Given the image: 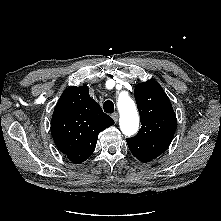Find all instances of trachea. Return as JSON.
I'll return each mask as SVG.
<instances>
[{
  "instance_id": "obj_1",
  "label": "trachea",
  "mask_w": 221,
  "mask_h": 221,
  "mask_svg": "<svg viewBox=\"0 0 221 221\" xmlns=\"http://www.w3.org/2000/svg\"><path fill=\"white\" fill-rule=\"evenodd\" d=\"M104 111L106 113H113L114 112V104L111 100H107L103 105Z\"/></svg>"
}]
</instances>
